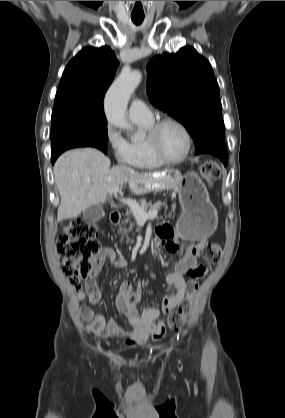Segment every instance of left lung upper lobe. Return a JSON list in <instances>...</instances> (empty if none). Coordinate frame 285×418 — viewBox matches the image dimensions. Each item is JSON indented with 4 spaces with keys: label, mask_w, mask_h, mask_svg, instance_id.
Listing matches in <instances>:
<instances>
[{
    "label": "left lung upper lobe",
    "mask_w": 285,
    "mask_h": 418,
    "mask_svg": "<svg viewBox=\"0 0 285 418\" xmlns=\"http://www.w3.org/2000/svg\"><path fill=\"white\" fill-rule=\"evenodd\" d=\"M147 71L150 102L185 126L196 155L209 153L227 164L219 86L209 61L186 46L155 56Z\"/></svg>",
    "instance_id": "left-lung-upper-lobe-1"
}]
</instances>
